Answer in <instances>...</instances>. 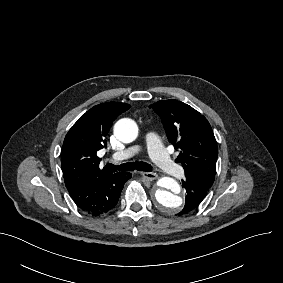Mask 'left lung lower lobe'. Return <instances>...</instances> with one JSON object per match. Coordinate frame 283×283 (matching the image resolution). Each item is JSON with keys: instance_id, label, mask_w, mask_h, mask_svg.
Returning <instances> with one entry per match:
<instances>
[{"instance_id": "left-lung-lower-lobe-1", "label": "left lung lower lobe", "mask_w": 283, "mask_h": 283, "mask_svg": "<svg viewBox=\"0 0 283 283\" xmlns=\"http://www.w3.org/2000/svg\"><path fill=\"white\" fill-rule=\"evenodd\" d=\"M214 180L197 174H187L182 180V186L186 189V201L184 208L178 213L179 216L194 211L204 199Z\"/></svg>"}]
</instances>
